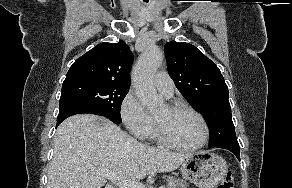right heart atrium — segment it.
Masks as SVG:
<instances>
[{
  "label": "right heart atrium",
  "mask_w": 292,
  "mask_h": 188,
  "mask_svg": "<svg viewBox=\"0 0 292 188\" xmlns=\"http://www.w3.org/2000/svg\"><path fill=\"white\" fill-rule=\"evenodd\" d=\"M120 116L127 130L138 139H146L154 129L153 119L145 112L132 92L124 96Z\"/></svg>",
  "instance_id": "1"
}]
</instances>
